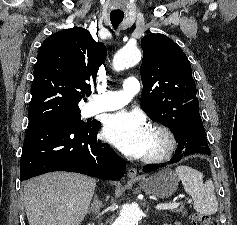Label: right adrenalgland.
Listing matches in <instances>:
<instances>
[{
    "label": "right adrenal gland",
    "mask_w": 237,
    "mask_h": 225,
    "mask_svg": "<svg viewBox=\"0 0 237 225\" xmlns=\"http://www.w3.org/2000/svg\"><path fill=\"white\" fill-rule=\"evenodd\" d=\"M100 207H101V202L100 200H98V197L95 194L93 204H91V206L88 208L87 213L95 215L99 212Z\"/></svg>",
    "instance_id": "1"
}]
</instances>
